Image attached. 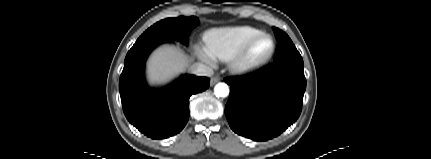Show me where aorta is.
<instances>
[{"label":"aorta","mask_w":431,"mask_h":159,"mask_svg":"<svg viewBox=\"0 0 431 159\" xmlns=\"http://www.w3.org/2000/svg\"><path fill=\"white\" fill-rule=\"evenodd\" d=\"M214 93L217 97H227L229 94V87L225 83H218L214 87Z\"/></svg>","instance_id":"1"}]
</instances>
